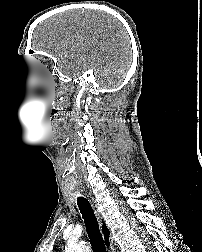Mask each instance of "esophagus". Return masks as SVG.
Wrapping results in <instances>:
<instances>
[{"label": "esophagus", "mask_w": 202, "mask_h": 252, "mask_svg": "<svg viewBox=\"0 0 202 252\" xmlns=\"http://www.w3.org/2000/svg\"><path fill=\"white\" fill-rule=\"evenodd\" d=\"M89 201H90V203H91V205H92L93 211H94V213H95V215H96L98 221L101 223V221H102V215H101V214L99 213V211H98V206H97L96 201H95L94 198L91 197V196H89Z\"/></svg>", "instance_id": "1"}]
</instances>
